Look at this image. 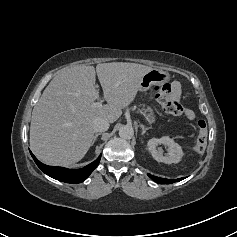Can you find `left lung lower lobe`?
Segmentation results:
<instances>
[{"label": "left lung lower lobe", "instance_id": "1", "mask_svg": "<svg viewBox=\"0 0 237 237\" xmlns=\"http://www.w3.org/2000/svg\"><path fill=\"white\" fill-rule=\"evenodd\" d=\"M148 176L159 184H171V183H174V182H177V181H180V180L184 179V178H179V179L170 180V179H164V178L152 176V175H149V174H148Z\"/></svg>", "mask_w": 237, "mask_h": 237}]
</instances>
